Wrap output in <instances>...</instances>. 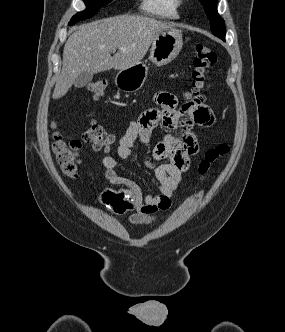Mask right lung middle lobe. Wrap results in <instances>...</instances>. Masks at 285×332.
<instances>
[{
  "instance_id": "obj_1",
  "label": "right lung middle lobe",
  "mask_w": 285,
  "mask_h": 332,
  "mask_svg": "<svg viewBox=\"0 0 285 332\" xmlns=\"http://www.w3.org/2000/svg\"><path fill=\"white\" fill-rule=\"evenodd\" d=\"M83 1L86 5V9L74 15L71 21L69 22V25L75 24L80 20L92 17L99 11L101 7L107 5L112 0H83Z\"/></svg>"
}]
</instances>
